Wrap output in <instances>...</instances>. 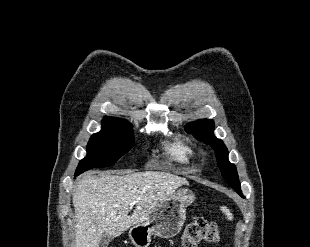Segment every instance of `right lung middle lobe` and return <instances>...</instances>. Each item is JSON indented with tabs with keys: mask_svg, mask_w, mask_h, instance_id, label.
Returning a JSON list of instances; mask_svg holds the SVG:
<instances>
[{
	"mask_svg": "<svg viewBox=\"0 0 310 247\" xmlns=\"http://www.w3.org/2000/svg\"><path fill=\"white\" fill-rule=\"evenodd\" d=\"M102 124V130L91 136L87 156L79 162L76 172L111 166L133 147L131 124L106 119Z\"/></svg>",
	"mask_w": 310,
	"mask_h": 247,
	"instance_id": "obj_1",
	"label": "right lung middle lobe"
}]
</instances>
